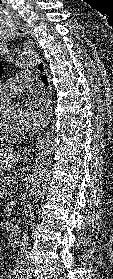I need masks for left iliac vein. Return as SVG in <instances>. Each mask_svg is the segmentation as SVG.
Segmentation results:
<instances>
[{"label":"left iliac vein","mask_w":113,"mask_h":279,"mask_svg":"<svg viewBox=\"0 0 113 279\" xmlns=\"http://www.w3.org/2000/svg\"><path fill=\"white\" fill-rule=\"evenodd\" d=\"M21 279H27V277H25V278H21ZM29 279H32L31 277H29Z\"/></svg>","instance_id":"1"}]
</instances>
